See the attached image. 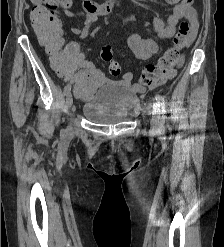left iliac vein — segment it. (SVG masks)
Returning <instances> with one entry per match:
<instances>
[{
    "instance_id": "4c4485c4",
    "label": "left iliac vein",
    "mask_w": 224,
    "mask_h": 247,
    "mask_svg": "<svg viewBox=\"0 0 224 247\" xmlns=\"http://www.w3.org/2000/svg\"><path fill=\"white\" fill-rule=\"evenodd\" d=\"M151 128L154 131L159 130V109L157 104L153 105V114L151 118Z\"/></svg>"
}]
</instances>
